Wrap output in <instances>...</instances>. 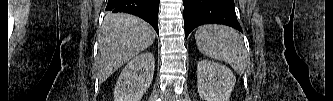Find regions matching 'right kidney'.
<instances>
[{"label": "right kidney", "instance_id": "ca27d5eb", "mask_svg": "<svg viewBox=\"0 0 333 101\" xmlns=\"http://www.w3.org/2000/svg\"><path fill=\"white\" fill-rule=\"evenodd\" d=\"M154 66L152 53L140 54L129 61L115 85L114 101H140L151 85Z\"/></svg>", "mask_w": 333, "mask_h": 101}]
</instances>
